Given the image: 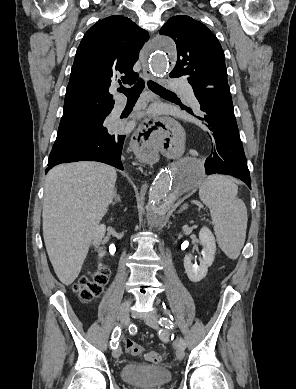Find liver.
Listing matches in <instances>:
<instances>
[{"label": "liver", "instance_id": "obj_1", "mask_svg": "<svg viewBox=\"0 0 296 389\" xmlns=\"http://www.w3.org/2000/svg\"><path fill=\"white\" fill-rule=\"evenodd\" d=\"M114 168L90 161L61 164L44 186L43 237L58 279L78 277L95 230L114 198Z\"/></svg>", "mask_w": 296, "mask_h": 389}]
</instances>
